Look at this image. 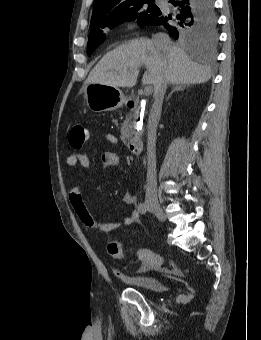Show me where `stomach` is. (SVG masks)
<instances>
[{"instance_id":"0dacf381","label":"stomach","mask_w":261,"mask_h":340,"mask_svg":"<svg viewBox=\"0 0 261 340\" xmlns=\"http://www.w3.org/2000/svg\"><path fill=\"white\" fill-rule=\"evenodd\" d=\"M84 92L87 106L93 112L117 110L125 101L124 94L115 86L90 83L85 85Z\"/></svg>"}]
</instances>
